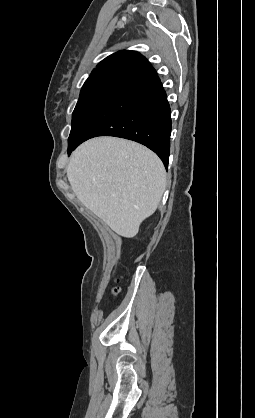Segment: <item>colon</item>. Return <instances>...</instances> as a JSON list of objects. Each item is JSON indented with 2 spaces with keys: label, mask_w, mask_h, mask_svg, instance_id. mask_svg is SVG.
Returning a JSON list of instances; mask_svg holds the SVG:
<instances>
[{
  "label": "colon",
  "mask_w": 255,
  "mask_h": 418,
  "mask_svg": "<svg viewBox=\"0 0 255 418\" xmlns=\"http://www.w3.org/2000/svg\"><path fill=\"white\" fill-rule=\"evenodd\" d=\"M116 291H117V289L115 288V289L113 290V292H114V293H116Z\"/></svg>",
  "instance_id": "1"
}]
</instances>
